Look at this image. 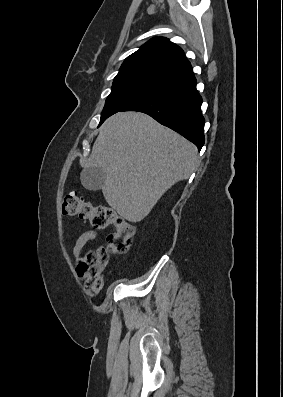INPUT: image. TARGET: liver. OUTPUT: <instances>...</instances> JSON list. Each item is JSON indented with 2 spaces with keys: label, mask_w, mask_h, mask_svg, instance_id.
<instances>
[{
  "label": "liver",
  "mask_w": 283,
  "mask_h": 397,
  "mask_svg": "<svg viewBox=\"0 0 283 397\" xmlns=\"http://www.w3.org/2000/svg\"><path fill=\"white\" fill-rule=\"evenodd\" d=\"M81 165L105 171V200L136 223L171 186L196 170L198 150L144 113L119 112L103 123L91 155Z\"/></svg>",
  "instance_id": "6515ba94"
}]
</instances>
